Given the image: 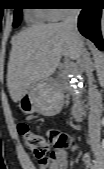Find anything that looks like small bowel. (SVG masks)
<instances>
[{
	"label": "small bowel",
	"instance_id": "small-bowel-1",
	"mask_svg": "<svg viewBox=\"0 0 104 169\" xmlns=\"http://www.w3.org/2000/svg\"><path fill=\"white\" fill-rule=\"evenodd\" d=\"M71 142V139L69 143ZM82 163L84 169H93V163L91 156L88 153L82 155ZM68 164V152L64 148L57 147L50 156L48 165L41 164L39 169H67Z\"/></svg>",
	"mask_w": 104,
	"mask_h": 169
}]
</instances>
